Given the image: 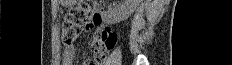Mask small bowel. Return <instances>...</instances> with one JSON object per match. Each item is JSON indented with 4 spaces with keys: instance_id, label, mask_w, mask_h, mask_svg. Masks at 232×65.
Segmentation results:
<instances>
[{
    "instance_id": "c3829d8e",
    "label": "small bowel",
    "mask_w": 232,
    "mask_h": 65,
    "mask_svg": "<svg viewBox=\"0 0 232 65\" xmlns=\"http://www.w3.org/2000/svg\"><path fill=\"white\" fill-rule=\"evenodd\" d=\"M94 28L96 29V37L99 36L105 38L106 36L111 34L110 29L103 26V19L100 13L93 14L91 19L85 25V30L87 31L92 30ZM74 58H75L74 46L73 45L66 46L63 52L62 64L72 65ZM83 65H104V62L86 61L83 63Z\"/></svg>"
}]
</instances>
